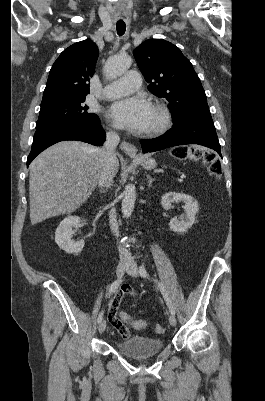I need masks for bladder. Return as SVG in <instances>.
Wrapping results in <instances>:
<instances>
[{"mask_svg":"<svg viewBox=\"0 0 265 401\" xmlns=\"http://www.w3.org/2000/svg\"><path fill=\"white\" fill-rule=\"evenodd\" d=\"M118 351L131 357L145 358L158 354L164 349L163 339L137 336L123 342H114Z\"/></svg>","mask_w":265,"mask_h":401,"instance_id":"1","label":"bladder"}]
</instances>
